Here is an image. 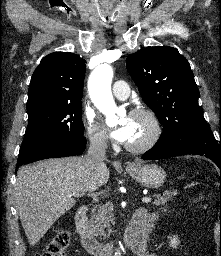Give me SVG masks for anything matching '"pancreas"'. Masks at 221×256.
<instances>
[{"label":"pancreas","mask_w":221,"mask_h":256,"mask_svg":"<svg viewBox=\"0 0 221 256\" xmlns=\"http://www.w3.org/2000/svg\"><path fill=\"white\" fill-rule=\"evenodd\" d=\"M176 194V191H165L162 196L155 195L156 199L153 204L156 206L164 205L168 201H170L172 197L175 196ZM112 210L113 208L111 204H105L100 206L97 210H92V215L89 224L94 233L100 236H105V229H107V231L110 234V222L113 221Z\"/></svg>","instance_id":"cf45deb5"}]
</instances>
